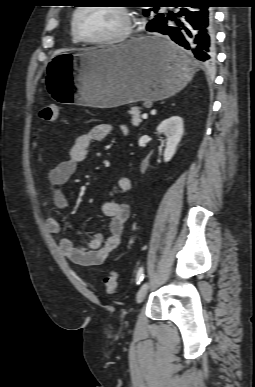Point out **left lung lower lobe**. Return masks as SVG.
Segmentation results:
<instances>
[{
	"mask_svg": "<svg viewBox=\"0 0 255 387\" xmlns=\"http://www.w3.org/2000/svg\"><path fill=\"white\" fill-rule=\"evenodd\" d=\"M173 7H182L174 16H161L149 21L147 31L151 35L153 47L165 57L182 64L184 58L179 47L189 50L203 67L210 66L215 60V31L212 4L213 0H174ZM173 21L174 26L169 23ZM158 33L166 39L158 38Z\"/></svg>",
	"mask_w": 255,
	"mask_h": 387,
	"instance_id": "left-lung-lower-lobe-1",
	"label": "left lung lower lobe"
}]
</instances>
